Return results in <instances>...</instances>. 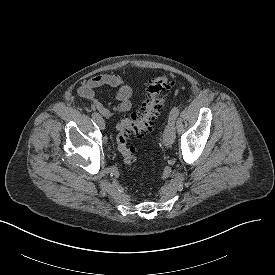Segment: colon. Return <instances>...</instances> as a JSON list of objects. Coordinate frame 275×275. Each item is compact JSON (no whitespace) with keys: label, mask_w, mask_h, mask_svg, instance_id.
Here are the masks:
<instances>
[{"label":"colon","mask_w":275,"mask_h":275,"mask_svg":"<svg viewBox=\"0 0 275 275\" xmlns=\"http://www.w3.org/2000/svg\"><path fill=\"white\" fill-rule=\"evenodd\" d=\"M172 86L173 82L166 75L153 77L145 88L144 100L139 109L116 124L117 147L125 167H130L137 161L135 149L128 146V138L131 135L144 137L153 130L164 105V96ZM143 184L144 182H139V185Z\"/></svg>","instance_id":"obj_1"}]
</instances>
